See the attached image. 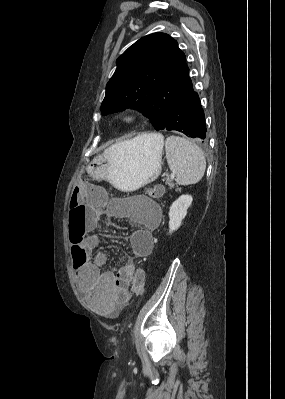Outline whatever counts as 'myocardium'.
<instances>
[{"label": "myocardium", "instance_id": "1", "mask_svg": "<svg viewBox=\"0 0 285 399\" xmlns=\"http://www.w3.org/2000/svg\"><path fill=\"white\" fill-rule=\"evenodd\" d=\"M138 113L134 109H128L120 115V120L125 125H131L138 120Z\"/></svg>", "mask_w": 285, "mask_h": 399}]
</instances>
